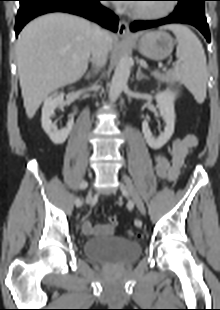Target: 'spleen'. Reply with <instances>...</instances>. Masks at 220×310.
Segmentation results:
<instances>
[{
    "label": "spleen",
    "mask_w": 220,
    "mask_h": 310,
    "mask_svg": "<svg viewBox=\"0 0 220 310\" xmlns=\"http://www.w3.org/2000/svg\"><path fill=\"white\" fill-rule=\"evenodd\" d=\"M163 29L171 30L177 39L178 61L173 69L176 79L187 87L198 103H203L206 98L208 70L200 40L185 25L170 24Z\"/></svg>",
    "instance_id": "3e777b00"
}]
</instances>
